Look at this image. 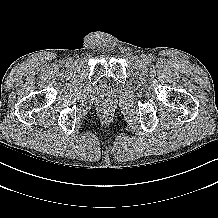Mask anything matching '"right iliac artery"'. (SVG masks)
Instances as JSON below:
<instances>
[{
	"instance_id": "right-iliac-artery-1",
	"label": "right iliac artery",
	"mask_w": 218,
	"mask_h": 218,
	"mask_svg": "<svg viewBox=\"0 0 218 218\" xmlns=\"http://www.w3.org/2000/svg\"><path fill=\"white\" fill-rule=\"evenodd\" d=\"M64 63H65V60H62V61H61V64L63 65Z\"/></svg>"
}]
</instances>
